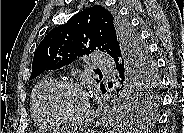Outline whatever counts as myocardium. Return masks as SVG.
Returning a JSON list of instances; mask_svg holds the SVG:
<instances>
[{
    "mask_svg": "<svg viewBox=\"0 0 184 133\" xmlns=\"http://www.w3.org/2000/svg\"><path fill=\"white\" fill-rule=\"evenodd\" d=\"M64 88H75L82 91L87 99V108L82 116L76 119H67L60 117L54 110L53 107V99L57 92ZM44 109L46 114L50 117V119L55 124L64 125V126H80L86 123L90 117L92 116V104L90 99V94L87 89L79 82L75 80H59L54 83L46 92L44 96Z\"/></svg>",
    "mask_w": 184,
    "mask_h": 133,
    "instance_id": "myocardium-1",
    "label": "myocardium"
}]
</instances>
